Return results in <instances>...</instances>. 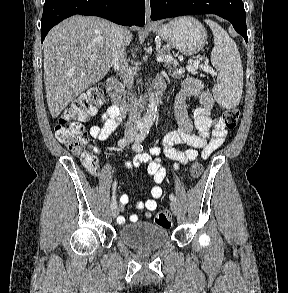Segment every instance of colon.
<instances>
[{
  "label": "colon",
  "instance_id": "1",
  "mask_svg": "<svg viewBox=\"0 0 288 293\" xmlns=\"http://www.w3.org/2000/svg\"><path fill=\"white\" fill-rule=\"evenodd\" d=\"M106 92L102 86H96L69 105L60 115L55 126V136L74 155L78 156L83 166L92 174L98 172L97 158L87 150L88 133L84 122L92 116L97 108L105 101ZM240 113L237 108L226 110L222 119L228 129H234L239 121ZM203 172V165L195 161L190 167V175L198 179ZM156 225L170 228L171 215L168 211H160L154 219Z\"/></svg>",
  "mask_w": 288,
  "mask_h": 293
}]
</instances>
